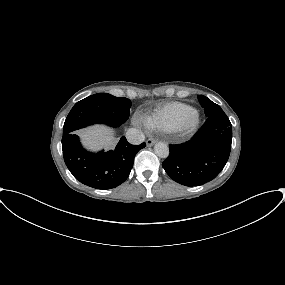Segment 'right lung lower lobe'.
Here are the masks:
<instances>
[{
	"label": "right lung lower lobe",
	"mask_w": 285,
	"mask_h": 285,
	"mask_svg": "<svg viewBox=\"0 0 285 285\" xmlns=\"http://www.w3.org/2000/svg\"><path fill=\"white\" fill-rule=\"evenodd\" d=\"M146 146L131 145L122 137L114 150L92 153L85 150L75 133L63 135L64 161L81 183L96 189H111L129 176L136 153Z\"/></svg>",
	"instance_id": "right-lung-lower-lobe-1"
}]
</instances>
